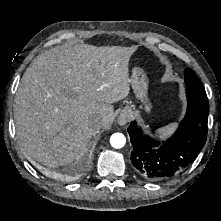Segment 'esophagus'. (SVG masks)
<instances>
[{"instance_id":"34e87169","label":"esophagus","mask_w":221,"mask_h":221,"mask_svg":"<svg viewBox=\"0 0 221 221\" xmlns=\"http://www.w3.org/2000/svg\"><path fill=\"white\" fill-rule=\"evenodd\" d=\"M129 120V114L128 113H122L119 117H118V123L120 125H125Z\"/></svg>"}]
</instances>
